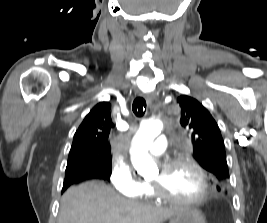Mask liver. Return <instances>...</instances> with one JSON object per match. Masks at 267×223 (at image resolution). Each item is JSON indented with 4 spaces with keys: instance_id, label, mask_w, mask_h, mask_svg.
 Here are the masks:
<instances>
[{
    "instance_id": "1",
    "label": "liver",
    "mask_w": 267,
    "mask_h": 223,
    "mask_svg": "<svg viewBox=\"0 0 267 223\" xmlns=\"http://www.w3.org/2000/svg\"><path fill=\"white\" fill-rule=\"evenodd\" d=\"M179 211L128 200L104 182L88 181L63 194L58 223H163Z\"/></svg>"
}]
</instances>
